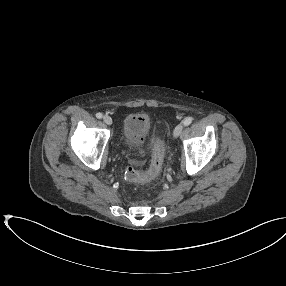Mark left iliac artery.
<instances>
[{
  "mask_svg": "<svg viewBox=\"0 0 286 286\" xmlns=\"http://www.w3.org/2000/svg\"><path fill=\"white\" fill-rule=\"evenodd\" d=\"M192 123V118L190 117H187L184 121H183V124L184 126H188Z\"/></svg>",
  "mask_w": 286,
  "mask_h": 286,
  "instance_id": "obj_1",
  "label": "left iliac artery"
}]
</instances>
